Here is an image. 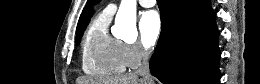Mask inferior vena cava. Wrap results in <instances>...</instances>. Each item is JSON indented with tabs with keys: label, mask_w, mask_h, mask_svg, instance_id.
<instances>
[{
	"label": "inferior vena cava",
	"mask_w": 260,
	"mask_h": 84,
	"mask_svg": "<svg viewBox=\"0 0 260 84\" xmlns=\"http://www.w3.org/2000/svg\"><path fill=\"white\" fill-rule=\"evenodd\" d=\"M142 62L138 70L136 71V74L142 76L144 79L148 81L149 84H153L152 77L150 75L149 71V53L146 51H142L141 53Z\"/></svg>",
	"instance_id": "602c4592"
}]
</instances>
